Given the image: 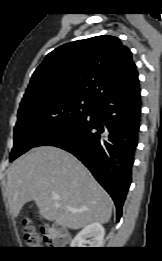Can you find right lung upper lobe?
I'll return each instance as SVG.
<instances>
[{"instance_id": "1", "label": "right lung upper lobe", "mask_w": 162, "mask_h": 261, "mask_svg": "<svg viewBox=\"0 0 162 261\" xmlns=\"http://www.w3.org/2000/svg\"><path fill=\"white\" fill-rule=\"evenodd\" d=\"M139 86L131 51L114 36L64 44L49 53L31 77L22 99L54 95L96 101Z\"/></svg>"}]
</instances>
